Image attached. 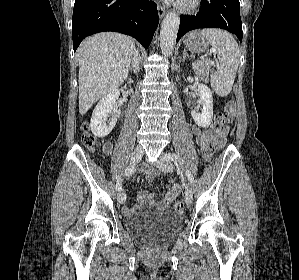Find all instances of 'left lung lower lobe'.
I'll list each match as a JSON object with an SVG mask.
<instances>
[{"mask_svg":"<svg viewBox=\"0 0 299 280\" xmlns=\"http://www.w3.org/2000/svg\"><path fill=\"white\" fill-rule=\"evenodd\" d=\"M239 7V0H201L196 16H181L177 41L188 31L205 27L228 30L242 41Z\"/></svg>","mask_w":299,"mask_h":280,"instance_id":"0a47b994","label":"left lung lower lobe"}]
</instances>
